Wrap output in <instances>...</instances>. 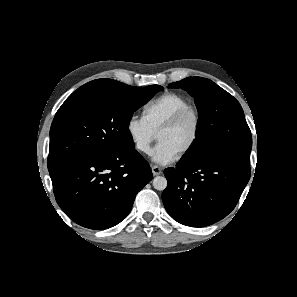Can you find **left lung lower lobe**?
I'll return each instance as SVG.
<instances>
[{
	"label": "left lung lower lobe",
	"mask_w": 297,
	"mask_h": 297,
	"mask_svg": "<svg viewBox=\"0 0 297 297\" xmlns=\"http://www.w3.org/2000/svg\"><path fill=\"white\" fill-rule=\"evenodd\" d=\"M250 166L223 158L179 161L164 170L168 185L162 194L167 212L181 224L211 225L236 206L250 179Z\"/></svg>",
	"instance_id": "left-lung-lower-lobe-1"
}]
</instances>
